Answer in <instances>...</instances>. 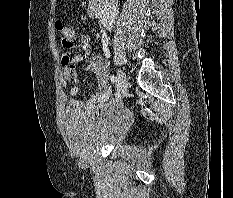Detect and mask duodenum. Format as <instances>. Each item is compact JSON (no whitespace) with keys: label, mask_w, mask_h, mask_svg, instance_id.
Returning a JSON list of instances; mask_svg holds the SVG:
<instances>
[{"label":"duodenum","mask_w":233,"mask_h":198,"mask_svg":"<svg viewBox=\"0 0 233 198\" xmlns=\"http://www.w3.org/2000/svg\"><path fill=\"white\" fill-rule=\"evenodd\" d=\"M88 15L91 19L103 22L101 0H90L88 5Z\"/></svg>","instance_id":"410a0bca"}]
</instances>
